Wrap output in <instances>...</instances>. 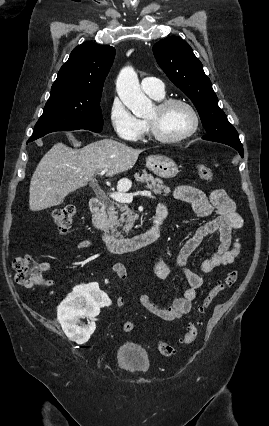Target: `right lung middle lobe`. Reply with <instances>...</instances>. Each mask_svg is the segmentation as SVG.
<instances>
[{
    "mask_svg": "<svg viewBox=\"0 0 269 426\" xmlns=\"http://www.w3.org/2000/svg\"><path fill=\"white\" fill-rule=\"evenodd\" d=\"M100 100L101 95L50 94L29 141L55 131L85 129L100 132L103 128Z\"/></svg>",
    "mask_w": 269,
    "mask_h": 426,
    "instance_id": "obj_1",
    "label": "right lung middle lobe"
}]
</instances>
